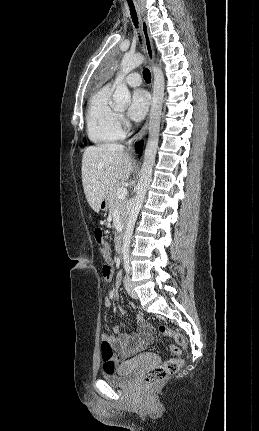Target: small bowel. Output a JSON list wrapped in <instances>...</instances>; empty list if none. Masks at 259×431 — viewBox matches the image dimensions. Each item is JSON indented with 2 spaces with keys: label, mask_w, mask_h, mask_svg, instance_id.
<instances>
[{
  "label": "small bowel",
  "mask_w": 259,
  "mask_h": 431,
  "mask_svg": "<svg viewBox=\"0 0 259 431\" xmlns=\"http://www.w3.org/2000/svg\"><path fill=\"white\" fill-rule=\"evenodd\" d=\"M113 272L108 266L102 269V278L105 281H109ZM104 305L107 308L112 306V297H106L104 300ZM138 323V333L122 334L117 335L119 327L115 325L113 327L112 333H103L101 338L102 342H108L112 347V355L110 357H105L102 354L104 369L106 366L112 365L114 368L121 362H129L137 354L142 352L148 345L152 342V335L149 331V327L145 322L143 316L138 315L136 317Z\"/></svg>",
  "instance_id": "obj_1"
}]
</instances>
